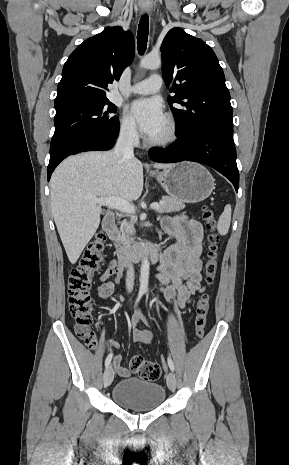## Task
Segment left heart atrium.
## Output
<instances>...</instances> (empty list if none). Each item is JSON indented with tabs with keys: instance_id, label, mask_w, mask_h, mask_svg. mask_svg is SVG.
I'll return each mask as SVG.
<instances>
[{
	"instance_id": "obj_1",
	"label": "left heart atrium",
	"mask_w": 289,
	"mask_h": 465,
	"mask_svg": "<svg viewBox=\"0 0 289 465\" xmlns=\"http://www.w3.org/2000/svg\"><path fill=\"white\" fill-rule=\"evenodd\" d=\"M130 109L140 130L149 138L156 136L165 126L166 117L163 107L157 99L136 100Z\"/></svg>"
}]
</instances>
